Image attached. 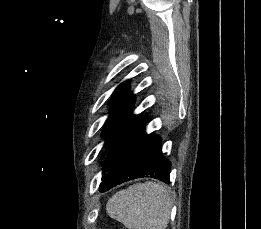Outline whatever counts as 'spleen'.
Here are the masks:
<instances>
[{
	"mask_svg": "<svg viewBox=\"0 0 261 229\" xmlns=\"http://www.w3.org/2000/svg\"><path fill=\"white\" fill-rule=\"evenodd\" d=\"M172 203L160 183H136L118 191L106 205L111 219L123 223L126 229H166Z\"/></svg>",
	"mask_w": 261,
	"mask_h": 229,
	"instance_id": "3e777b00",
	"label": "spleen"
}]
</instances>
